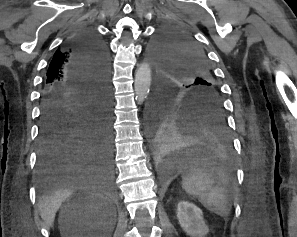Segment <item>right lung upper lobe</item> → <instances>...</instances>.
Returning <instances> with one entry per match:
<instances>
[{"mask_svg":"<svg viewBox=\"0 0 297 237\" xmlns=\"http://www.w3.org/2000/svg\"><path fill=\"white\" fill-rule=\"evenodd\" d=\"M71 55V49L67 44L62 50L58 49L55 52L47 72L45 88L55 85H69L73 82L69 70Z\"/></svg>","mask_w":297,"mask_h":237,"instance_id":"obj_1","label":"right lung upper lobe"}]
</instances>
